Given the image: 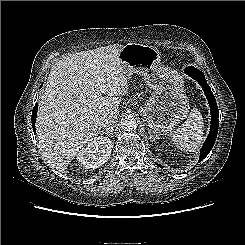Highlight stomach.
<instances>
[{
	"label": "stomach",
	"mask_w": 245,
	"mask_h": 245,
	"mask_svg": "<svg viewBox=\"0 0 245 245\" xmlns=\"http://www.w3.org/2000/svg\"><path fill=\"white\" fill-rule=\"evenodd\" d=\"M118 58L128 79L133 74L140 75L154 90L141 109L150 131L155 137L172 132L190 109L182 76L168 67H161L160 54L152 46L128 43Z\"/></svg>",
	"instance_id": "1"
}]
</instances>
